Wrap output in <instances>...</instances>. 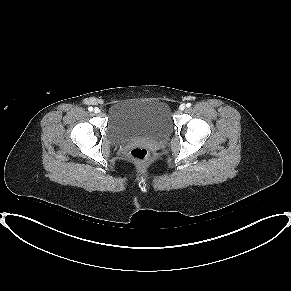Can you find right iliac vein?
<instances>
[{"mask_svg":"<svg viewBox=\"0 0 291 291\" xmlns=\"http://www.w3.org/2000/svg\"><path fill=\"white\" fill-rule=\"evenodd\" d=\"M94 112H95L96 114H99V113L101 112V110H100L99 108H95V109H94Z\"/></svg>","mask_w":291,"mask_h":291,"instance_id":"63e3f726","label":"right iliac vein"}]
</instances>
